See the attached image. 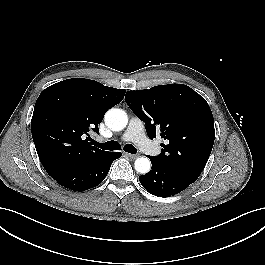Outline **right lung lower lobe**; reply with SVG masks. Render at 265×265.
Wrapping results in <instances>:
<instances>
[{
    "instance_id": "1",
    "label": "right lung lower lobe",
    "mask_w": 265,
    "mask_h": 265,
    "mask_svg": "<svg viewBox=\"0 0 265 265\" xmlns=\"http://www.w3.org/2000/svg\"><path fill=\"white\" fill-rule=\"evenodd\" d=\"M121 152H108L99 159L62 168L51 174L60 185L73 191H84L99 185L106 177L112 162Z\"/></svg>"
}]
</instances>
